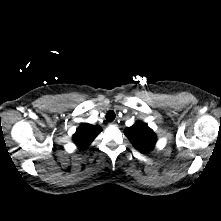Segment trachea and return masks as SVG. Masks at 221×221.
I'll return each mask as SVG.
<instances>
[{"mask_svg":"<svg viewBox=\"0 0 221 221\" xmlns=\"http://www.w3.org/2000/svg\"><path fill=\"white\" fill-rule=\"evenodd\" d=\"M116 115L113 111H108L107 114H106V120L108 122H112L114 119H115Z\"/></svg>","mask_w":221,"mask_h":221,"instance_id":"trachea-1","label":"trachea"}]
</instances>
